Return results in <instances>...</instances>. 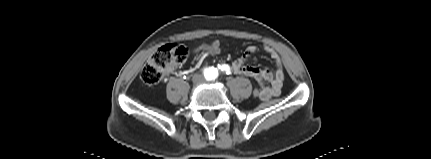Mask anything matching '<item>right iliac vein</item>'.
<instances>
[{
  "mask_svg": "<svg viewBox=\"0 0 431 159\" xmlns=\"http://www.w3.org/2000/svg\"><path fill=\"white\" fill-rule=\"evenodd\" d=\"M201 81V76L200 75H195L194 77H193V82L194 83H198V82H200Z\"/></svg>",
  "mask_w": 431,
  "mask_h": 159,
  "instance_id": "obj_1",
  "label": "right iliac vein"
}]
</instances>
